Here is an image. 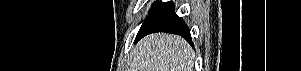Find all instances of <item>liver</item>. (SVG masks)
Listing matches in <instances>:
<instances>
[{
  "mask_svg": "<svg viewBox=\"0 0 301 71\" xmlns=\"http://www.w3.org/2000/svg\"><path fill=\"white\" fill-rule=\"evenodd\" d=\"M193 53L180 36L151 34L133 49L130 71H192Z\"/></svg>",
  "mask_w": 301,
  "mask_h": 71,
  "instance_id": "obj_1",
  "label": "liver"
}]
</instances>
